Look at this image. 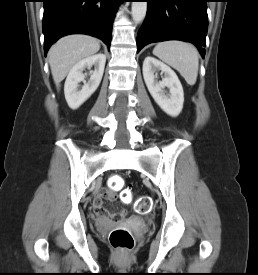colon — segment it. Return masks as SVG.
<instances>
[{
    "label": "colon",
    "mask_w": 258,
    "mask_h": 275,
    "mask_svg": "<svg viewBox=\"0 0 258 275\" xmlns=\"http://www.w3.org/2000/svg\"><path fill=\"white\" fill-rule=\"evenodd\" d=\"M124 185V180L121 176L115 175L112 176L109 181V187L113 191H118L122 189ZM122 201L130 202L132 200V193L129 190H123L120 195ZM152 203L149 197H141L135 209L139 214H146L151 210ZM123 214L119 213H110L109 217L111 219H119ZM109 241L111 245L121 251H131L135 245V239L131 231L125 227H116L109 234Z\"/></svg>",
    "instance_id": "1"
}]
</instances>
